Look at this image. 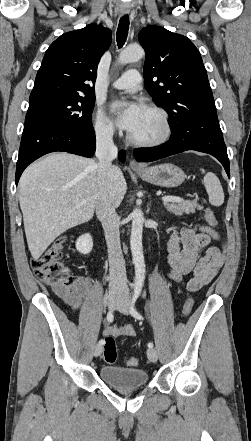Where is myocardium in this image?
Returning a JSON list of instances; mask_svg holds the SVG:
<instances>
[{"label": "myocardium", "mask_w": 251, "mask_h": 441, "mask_svg": "<svg viewBox=\"0 0 251 441\" xmlns=\"http://www.w3.org/2000/svg\"><path fill=\"white\" fill-rule=\"evenodd\" d=\"M145 108L150 111H153L159 115L161 122H162V126H163L162 134L155 139L139 140V139L134 138L129 133L127 136V139L131 144L138 146V147L151 148V147L160 146V145L166 143L172 134V126H171L169 115L165 109H163L162 107H160L158 105L150 104V105H147Z\"/></svg>", "instance_id": "myocardium-1"}]
</instances>
